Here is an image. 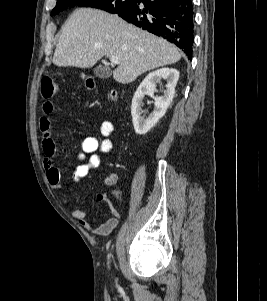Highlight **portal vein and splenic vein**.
Returning a JSON list of instances; mask_svg holds the SVG:
<instances>
[{
  "mask_svg": "<svg viewBox=\"0 0 267 301\" xmlns=\"http://www.w3.org/2000/svg\"><path fill=\"white\" fill-rule=\"evenodd\" d=\"M110 61H111V63H114V64H119V62H120L119 58L114 55L110 56Z\"/></svg>",
  "mask_w": 267,
  "mask_h": 301,
  "instance_id": "1",
  "label": "portal vein and splenic vein"
}]
</instances>
